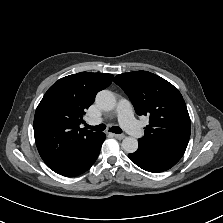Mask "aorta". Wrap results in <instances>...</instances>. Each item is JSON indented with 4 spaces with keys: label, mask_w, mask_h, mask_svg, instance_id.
Instances as JSON below:
<instances>
[{
    "label": "aorta",
    "mask_w": 223,
    "mask_h": 223,
    "mask_svg": "<svg viewBox=\"0 0 223 223\" xmlns=\"http://www.w3.org/2000/svg\"><path fill=\"white\" fill-rule=\"evenodd\" d=\"M95 103L101 110L111 111L115 108L116 98L111 91L102 90L97 93ZM121 146L126 153H134L138 149V141L133 137H125Z\"/></svg>",
    "instance_id": "obj_1"
}]
</instances>
